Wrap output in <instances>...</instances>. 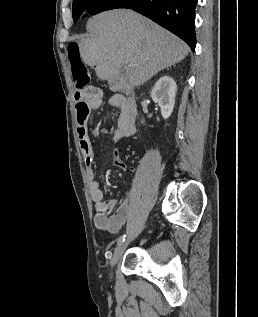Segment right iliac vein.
<instances>
[{"label":"right iliac vein","mask_w":258,"mask_h":317,"mask_svg":"<svg viewBox=\"0 0 258 317\" xmlns=\"http://www.w3.org/2000/svg\"><path fill=\"white\" fill-rule=\"evenodd\" d=\"M130 238L132 237L131 235L129 236ZM128 239L129 241L131 240V239ZM127 243V244H126ZM128 241L126 242H121L118 246H117V248H116V250H115V252H114V256H113V258H111L110 259V264H111V267L113 268V267H116V264H117V262H119L120 261V259H121V257L123 256V254L125 253V249L127 248V246H128ZM109 268L110 270L112 269V268ZM112 271V275L114 274L113 273V269L111 270Z\"/></svg>","instance_id":"1"}]
</instances>
